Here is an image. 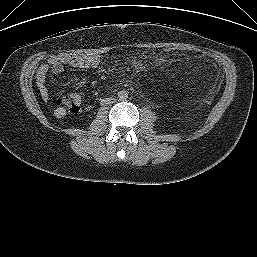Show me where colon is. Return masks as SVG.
I'll use <instances>...</instances> for the list:
<instances>
[{
	"label": "colon",
	"mask_w": 257,
	"mask_h": 257,
	"mask_svg": "<svg viewBox=\"0 0 257 257\" xmlns=\"http://www.w3.org/2000/svg\"><path fill=\"white\" fill-rule=\"evenodd\" d=\"M165 54L176 52L173 47H165L162 49ZM56 108L64 109L71 113L78 112L81 106V97L77 94H66L55 99Z\"/></svg>",
	"instance_id": "1"
}]
</instances>
